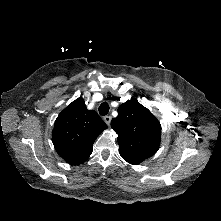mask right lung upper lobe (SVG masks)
I'll return each instance as SVG.
<instances>
[{
    "instance_id": "obj_1",
    "label": "right lung upper lobe",
    "mask_w": 221,
    "mask_h": 221,
    "mask_svg": "<svg viewBox=\"0 0 221 221\" xmlns=\"http://www.w3.org/2000/svg\"><path fill=\"white\" fill-rule=\"evenodd\" d=\"M106 128L100 116L94 110H88L80 97L57 117L52 141L55 150L66 162L79 165L89 158L94 141Z\"/></svg>"
}]
</instances>
